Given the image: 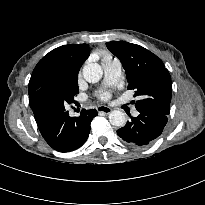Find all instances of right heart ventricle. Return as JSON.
<instances>
[{
  "label": "right heart ventricle",
  "mask_w": 205,
  "mask_h": 205,
  "mask_svg": "<svg viewBox=\"0 0 205 205\" xmlns=\"http://www.w3.org/2000/svg\"><path fill=\"white\" fill-rule=\"evenodd\" d=\"M113 59L110 55L108 54H102V63L106 62V61H109Z\"/></svg>",
  "instance_id": "right-heart-ventricle-1"
}]
</instances>
